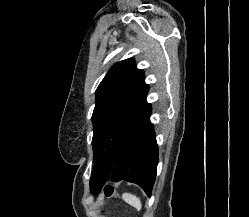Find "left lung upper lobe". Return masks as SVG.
<instances>
[{
	"label": "left lung upper lobe",
	"mask_w": 249,
	"mask_h": 217,
	"mask_svg": "<svg viewBox=\"0 0 249 217\" xmlns=\"http://www.w3.org/2000/svg\"><path fill=\"white\" fill-rule=\"evenodd\" d=\"M148 85L144 72L136 68L133 59H126L113 65L96 91V105L92 115L94 127V161L110 173L117 149L118 132L122 122L146 98ZM93 193L96 184L91 180Z\"/></svg>",
	"instance_id": "left-lung-upper-lobe-1"
}]
</instances>
